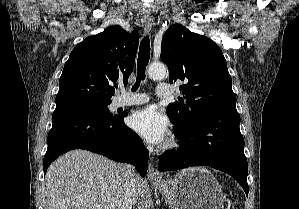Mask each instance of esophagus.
<instances>
[{
    "instance_id": "34e87169",
    "label": "esophagus",
    "mask_w": 299,
    "mask_h": 209,
    "mask_svg": "<svg viewBox=\"0 0 299 209\" xmlns=\"http://www.w3.org/2000/svg\"><path fill=\"white\" fill-rule=\"evenodd\" d=\"M141 25H142L144 31L149 33L152 29V19L150 17L144 16L141 19ZM147 178L149 180H157V181L161 179V177H160L159 173L157 172V170L155 169L152 161H150L149 166H148Z\"/></svg>"
}]
</instances>
